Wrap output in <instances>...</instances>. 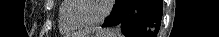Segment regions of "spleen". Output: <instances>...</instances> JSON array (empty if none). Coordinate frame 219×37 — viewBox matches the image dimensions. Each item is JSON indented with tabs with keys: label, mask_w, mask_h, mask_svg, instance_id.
<instances>
[{
	"label": "spleen",
	"mask_w": 219,
	"mask_h": 37,
	"mask_svg": "<svg viewBox=\"0 0 219 37\" xmlns=\"http://www.w3.org/2000/svg\"><path fill=\"white\" fill-rule=\"evenodd\" d=\"M112 32H113V33H112L113 36H111V37H123V36L121 35V32L119 31L118 28L113 29Z\"/></svg>",
	"instance_id": "3e777b00"
}]
</instances>
